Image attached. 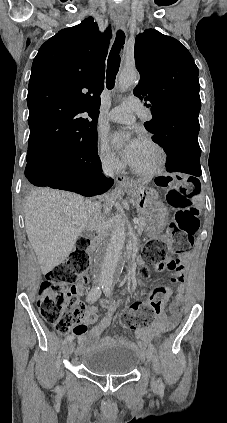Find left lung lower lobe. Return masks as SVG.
<instances>
[{
  "label": "left lung lower lobe",
  "instance_id": "1",
  "mask_svg": "<svg viewBox=\"0 0 227 423\" xmlns=\"http://www.w3.org/2000/svg\"><path fill=\"white\" fill-rule=\"evenodd\" d=\"M199 128L200 126L190 124L175 133L154 140L167 153L168 172H183L197 177L201 175V149L197 140Z\"/></svg>",
  "mask_w": 227,
  "mask_h": 423
}]
</instances>
